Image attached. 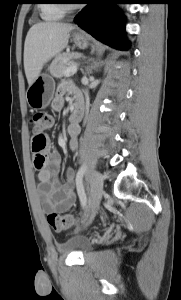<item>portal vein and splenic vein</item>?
Listing matches in <instances>:
<instances>
[{"label":"portal vein and splenic vein","mask_w":181,"mask_h":300,"mask_svg":"<svg viewBox=\"0 0 181 300\" xmlns=\"http://www.w3.org/2000/svg\"><path fill=\"white\" fill-rule=\"evenodd\" d=\"M77 69H78V67H77L76 64L71 65L70 67H68V68L66 69V71H65V76H66V77H69V76L75 74V73L77 72Z\"/></svg>","instance_id":"1"}]
</instances>
